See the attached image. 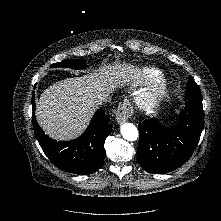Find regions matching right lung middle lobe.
<instances>
[{
  "label": "right lung middle lobe",
  "mask_w": 221,
  "mask_h": 221,
  "mask_svg": "<svg viewBox=\"0 0 221 221\" xmlns=\"http://www.w3.org/2000/svg\"><path fill=\"white\" fill-rule=\"evenodd\" d=\"M51 67H65V68H73V69H83L87 67L86 61L82 60H64L62 62H58L53 64Z\"/></svg>",
  "instance_id": "1"
}]
</instances>
